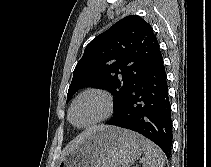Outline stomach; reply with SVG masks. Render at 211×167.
Instances as JSON below:
<instances>
[{
	"instance_id": "stomach-1",
	"label": "stomach",
	"mask_w": 211,
	"mask_h": 167,
	"mask_svg": "<svg viewBox=\"0 0 211 167\" xmlns=\"http://www.w3.org/2000/svg\"><path fill=\"white\" fill-rule=\"evenodd\" d=\"M145 149V139L132 131L114 126L92 130L67 152L57 167H130Z\"/></svg>"
}]
</instances>
